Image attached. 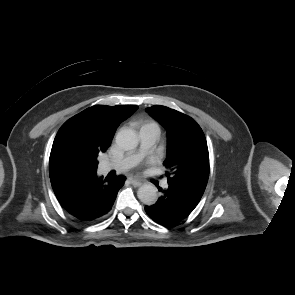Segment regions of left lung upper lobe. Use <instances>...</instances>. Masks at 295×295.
<instances>
[{"mask_svg":"<svg viewBox=\"0 0 295 295\" xmlns=\"http://www.w3.org/2000/svg\"><path fill=\"white\" fill-rule=\"evenodd\" d=\"M146 112L166 130L167 154L163 165L168 183L205 190L209 177V153L201 127L191 117L161 105Z\"/></svg>","mask_w":295,"mask_h":295,"instance_id":"1","label":"left lung upper lobe"}]
</instances>
